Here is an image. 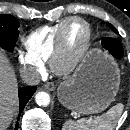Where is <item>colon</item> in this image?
<instances>
[{
    "mask_svg": "<svg viewBox=\"0 0 130 130\" xmlns=\"http://www.w3.org/2000/svg\"><path fill=\"white\" fill-rule=\"evenodd\" d=\"M103 47L115 57H120L123 49L120 43L112 37H105L102 41Z\"/></svg>",
    "mask_w": 130,
    "mask_h": 130,
    "instance_id": "obj_1",
    "label": "colon"
}]
</instances>
